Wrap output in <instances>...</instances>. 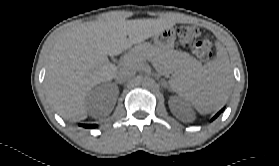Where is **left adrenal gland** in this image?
<instances>
[{
	"label": "left adrenal gland",
	"mask_w": 279,
	"mask_h": 166,
	"mask_svg": "<svg viewBox=\"0 0 279 166\" xmlns=\"http://www.w3.org/2000/svg\"><path fill=\"white\" fill-rule=\"evenodd\" d=\"M161 84H162L163 87L169 88V87H168V84H167V82H166L165 80H163V81L161 82Z\"/></svg>",
	"instance_id": "1"
}]
</instances>
